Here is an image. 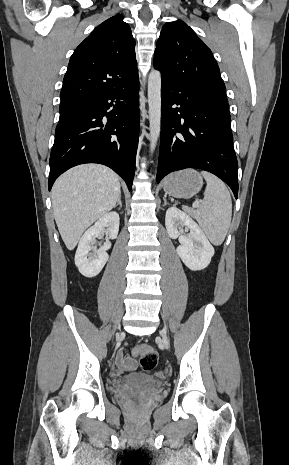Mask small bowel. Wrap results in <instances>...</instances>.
Segmentation results:
<instances>
[{
    "label": "small bowel",
    "mask_w": 289,
    "mask_h": 465,
    "mask_svg": "<svg viewBox=\"0 0 289 465\" xmlns=\"http://www.w3.org/2000/svg\"><path fill=\"white\" fill-rule=\"evenodd\" d=\"M115 362L120 370L130 371L134 370L137 366V362L131 358L124 349H121L117 353Z\"/></svg>",
    "instance_id": "1"
}]
</instances>
